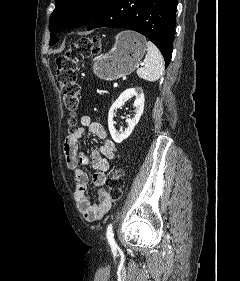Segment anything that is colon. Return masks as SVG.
Instances as JSON below:
<instances>
[{
	"label": "colon",
	"instance_id": "colon-1",
	"mask_svg": "<svg viewBox=\"0 0 240 281\" xmlns=\"http://www.w3.org/2000/svg\"><path fill=\"white\" fill-rule=\"evenodd\" d=\"M100 51V40L97 37L82 38L71 44L65 53L56 59V75L59 82L65 107L70 113H74L79 106L80 88L77 82L78 63ZM70 134L74 132L75 121L70 120ZM108 193L111 202H117L124 186V174L122 169L114 168L107 179Z\"/></svg>",
	"mask_w": 240,
	"mask_h": 281
}]
</instances>
